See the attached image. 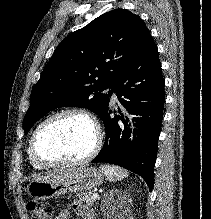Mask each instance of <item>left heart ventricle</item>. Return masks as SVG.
<instances>
[{
  "label": "left heart ventricle",
  "instance_id": "b2bd125f",
  "mask_svg": "<svg viewBox=\"0 0 211 219\" xmlns=\"http://www.w3.org/2000/svg\"><path fill=\"white\" fill-rule=\"evenodd\" d=\"M93 144L94 132L86 120L77 116H63L45 126L36 149L46 160L72 161L84 157Z\"/></svg>",
  "mask_w": 211,
  "mask_h": 219
}]
</instances>
